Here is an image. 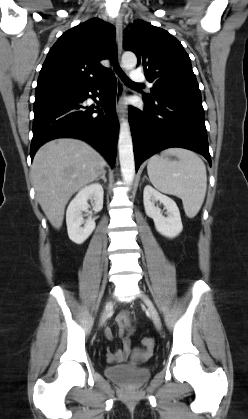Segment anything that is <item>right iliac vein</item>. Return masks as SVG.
Listing matches in <instances>:
<instances>
[{
    "instance_id": "obj_1",
    "label": "right iliac vein",
    "mask_w": 248,
    "mask_h": 419,
    "mask_svg": "<svg viewBox=\"0 0 248 419\" xmlns=\"http://www.w3.org/2000/svg\"><path fill=\"white\" fill-rule=\"evenodd\" d=\"M111 308H112V302L107 301L106 304H105L104 312H103V314L101 316V319H100V326H102L105 323V320H106L107 315L110 312Z\"/></svg>"
}]
</instances>
